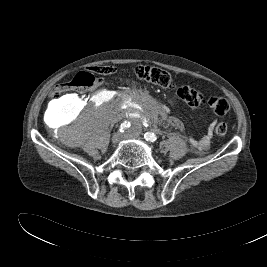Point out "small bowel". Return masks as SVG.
<instances>
[{"mask_svg":"<svg viewBox=\"0 0 267 267\" xmlns=\"http://www.w3.org/2000/svg\"><path fill=\"white\" fill-rule=\"evenodd\" d=\"M213 128H214V123H211L208 126L206 134L203 137H201L200 139L192 140V145L195 148H197L199 151L206 150L210 145V141H211V138L213 135Z\"/></svg>","mask_w":267,"mask_h":267,"instance_id":"small-bowel-1","label":"small bowel"}]
</instances>
